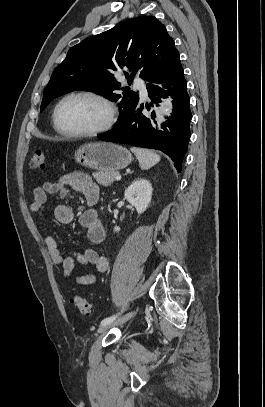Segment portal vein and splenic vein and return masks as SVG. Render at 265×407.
I'll return each mask as SVG.
<instances>
[{"instance_id": "portal-vein-and-splenic-vein-1", "label": "portal vein and splenic vein", "mask_w": 265, "mask_h": 407, "mask_svg": "<svg viewBox=\"0 0 265 407\" xmlns=\"http://www.w3.org/2000/svg\"><path fill=\"white\" fill-rule=\"evenodd\" d=\"M115 179H116V180H121V176H120V175H117V176L115 177Z\"/></svg>"}]
</instances>
